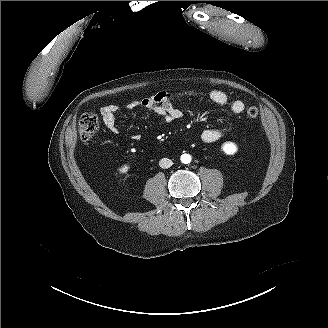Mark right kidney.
Instances as JSON below:
<instances>
[{"instance_id": "right-kidney-1", "label": "right kidney", "mask_w": 328, "mask_h": 328, "mask_svg": "<svg viewBox=\"0 0 328 328\" xmlns=\"http://www.w3.org/2000/svg\"><path fill=\"white\" fill-rule=\"evenodd\" d=\"M120 171H121L122 173H126V172L128 171V167H127V166H124V167H122V168L120 169Z\"/></svg>"}]
</instances>
